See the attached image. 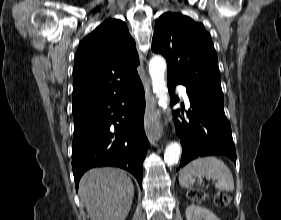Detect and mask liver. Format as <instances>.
Wrapping results in <instances>:
<instances>
[{
	"label": "liver",
	"instance_id": "1",
	"mask_svg": "<svg viewBox=\"0 0 281 220\" xmlns=\"http://www.w3.org/2000/svg\"><path fill=\"white\" fill-rule=\"evenodd\" d=\"M78 193L91 220H125L131 209L134 185L121 169L93 168L82 176Z\"/></svg>",
	"mask_w": 281,
	"mask_h": 220
}]
</instances>
